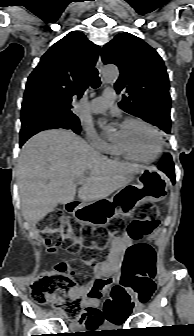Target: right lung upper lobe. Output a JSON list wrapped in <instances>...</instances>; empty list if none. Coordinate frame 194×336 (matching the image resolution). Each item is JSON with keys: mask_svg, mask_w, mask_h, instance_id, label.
<instances>
[{"mask_svg": "<svg viewBox=\"0 0 194 336\" xmlns=\"http://www.w3.org/2000/svg\"><path fill=\"white\" fill-rule=\"evenodd\" d=\"M99 53L100 47L81 32H70L55 43L28 77L21 121L41 114L75 115L72 98H80L88 87L86 74L96 64Z\"/></svg>", "mask_w": 194, "mask_h": 336, "instance_id": "right-lung-upper-lobe-1", "label": "right lung upper lobe"}]
</instances>
